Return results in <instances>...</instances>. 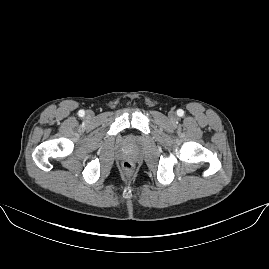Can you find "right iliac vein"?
Instances as JSON below:
<instances>
[{
    "label": "right iliac vein",
    "mask_w": 269,
    "mask_h": 269,
    "mask_svg": "<svg viewBox=\"0 0 269 269\" xmlns=\"http://www.w3.org/2000/svg\"><path fill=\"white\" fill-rule=\"evenodd\" d=\"M93 116H94V113L93 112H91V111H87L86 112V117L87 118H93Z\"/></svg>",
    "instance_id": "1"
}]
</instances>
